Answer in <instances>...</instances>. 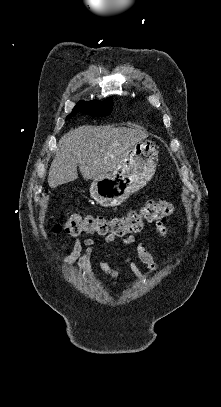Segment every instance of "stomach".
Instances as JSON below:
<instances>
[{
    "mask_svg": "<svg viewBox=\"0 0 221 407\" xmlns=\"http://www.w3.org/2000/svg\"><path fill=\"white\" fill-rule=\"evenodd\" d=\"M159 146L150 139L137 142L109 172L94 178L92 198L103 207H115L143 188L154 176Z\"/></svg>",
    "mask_w": 221,
    "mask_h": 407,
    "instance_id": "obj_1",
    "label": "stomach"
}]
</instances>
